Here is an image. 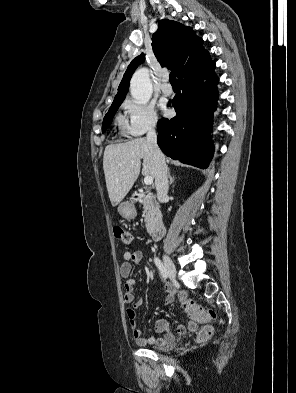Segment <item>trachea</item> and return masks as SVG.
Instances as JSON below:
<instances>
[{
	"label": "trachea",
	"mask_w": 296,
	"mask_h": 393,
	"mask_svg": "<svg viewBox=\"0 0 296 393\" xmlns=\"http://www.w3.org/2000/svg\"><path fill=\"white\" fill-rule=\"evenodd\" d=\"M169 79H170V83L171 84H177V79H176V75L174 72H171L169 75Z\"/></svg>",
	"instance_id": "obj_1"
}]
</instances>
